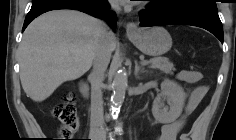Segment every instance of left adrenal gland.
Instances as JSON below:
<instances>
[{
    "label": "left adrenal gland",
    "mask_w": 236,
    "mask_h": 140,
    "mask_svg": "<svg viewBox=\"0 0 236 140\" xmlns=\"http://www.w3.org/2000/svg\"><path fill=\"white\" fill-rule=\"evenodd\" d=\"M143 73H148V70H145V68L143 66H139L137 61H135V71H134V75L137 79H140V74Z\"/></svg>",
    "instance_id": "obj_1"
}]
</instances>
